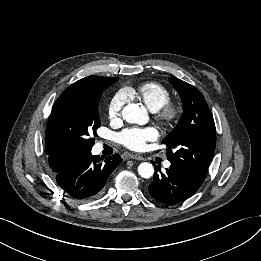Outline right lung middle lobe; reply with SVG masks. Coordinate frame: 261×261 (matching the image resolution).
<instances>
[{
	"label": "right lung middle lobe",
	"instance_id": "right-lung-middle-lobe-1",
	"mask_svg": "<svg viewBox=\"0 0 261 261\" xmlns=\"http://www.w3.org/2000/svg\"><path fill=\"white\" fill-rule=\"evenodd\" d=\"M119 78L101 86L81 88L70 85L56 100L45 133V151L84 154L91 151L96 129L101 126L98 103L102 92Z\"/></svg>",
	"mask_w": 261,
	"mask_h": 261
}]
</instances>
